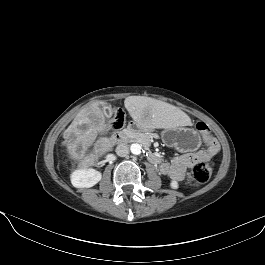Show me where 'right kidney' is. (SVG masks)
<instances>
[{"mask_svg":"<svg viewBox=\"0 0 265 265\" xmlns=\"http://www.w3.org/2000/svg\"><path fill=\"white\" fill-rule=\"evenodd\" d=\"M101 173L92 168H82L73 172L71 183L76 188H90L101 180Z\"/></svg>","mask_w":265,"mask_h":265,"instance_id":"ca27d5eb","label":"right kidney"}]
</instances>
